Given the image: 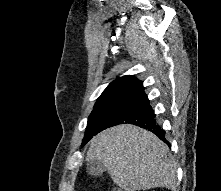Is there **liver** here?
<instances>
[{
	"mask_svg": "<svg viewBox=\"0 0 221 191\" xmlns=\"http://www.w3.org/2000/svg\"><path fill=\"white\" fill-rule=\"evenodd\" d=\"M169 148L153 133L131 124L118 125L90 141L86 161H102L124 191L176 187V167Z\"/></svg>",
	"mask_w": 221,
	"mask_h": 191,
	"instance_id": "liver-1",
	"label": "liver"
}]
</instances>
